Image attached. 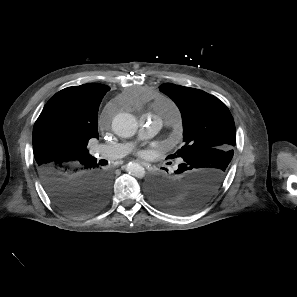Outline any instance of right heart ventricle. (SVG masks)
<instances>
[{"label": "right heart ventricle", "mask_w": 297, "mask_h": 297, "mask_svg": "<svg viewBox=\"0 0 297 297\" xmlns=\"http://www.w3.org/2000/svg\"><path fill=\"white\" fill-rule=\"evenodd\" d=\"M167 102H168V101H164L163 103L159 104V105L157 106V108H158V109H161V108L163 107V105L166 104Z\"/></svg>", "instance_id": "e07e8e85"}]
</instances>
